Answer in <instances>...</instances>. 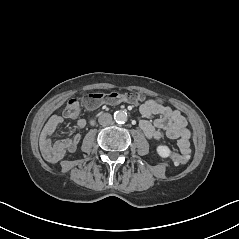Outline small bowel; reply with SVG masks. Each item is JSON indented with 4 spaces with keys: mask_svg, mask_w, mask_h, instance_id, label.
<instances>
[{
    "mask_svg": "<svg viewBox=\"0 0 239 239\" xmlns=\"http://www.w3.org/2000/svg\"><path fill=\"white\" fill-rule=\"evenodd\" d=\"M94 107H87L94 109ZM141 115L144 119L139 120V126L145 136L149 139L159 140L162 138L163 131L170 139H176L178 148L183 155L190 153L191 133L187 128V120L183 114L171 107L162 105L156 100L149 99L140 106ZM158 116L153 122L148 118ZM64 117H67L64 115ZM63 116L53 115L45 124L40 136V149L44 159L50 163H57L66 153L76 150L80 135L77 133L67 139L60 140L52 144V136L56 129L63 123ZM85 126V121L79 119L76 123L78 130Z\"/></svg>",
    "mask_w": 239,
    "mask_h": 239,
    "instance_id": "1",
    "label": "small bowel"
}]
</instances>
